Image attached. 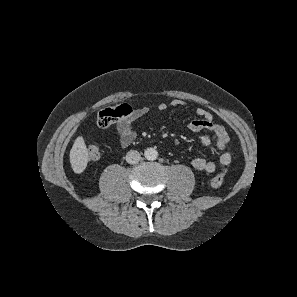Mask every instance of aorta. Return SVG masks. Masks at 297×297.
<instances>
[{
  "label": "aorta",
  "mask_w": 297,
  "mask_h": 297,
  "mask_svg": "<svg viewBox=\"0 0 297 297\" xmlns=\"http://www.w3.org/2000/svg\"><path fill=\"white\" fill-rule=\"evenodd\" d=\"M144 156L147 160H155L158 157V152L155 148H147Z\"/></svg>",
  "instance_id": "aorta-1"
}]
</instances>
